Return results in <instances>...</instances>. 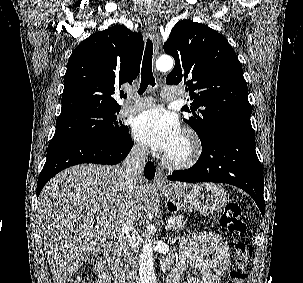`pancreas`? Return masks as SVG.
Wrapping results in <instances>:
<instances>
[{
  "label": "pancreas",
  "mask_w": 303,
  "mask_h": 283,
  "mask_svg": "<svg viewBox=\"0 0 303 283\" xmlns=\"http://www.w3.org/2000/svg\"><path fill=\"white\" fill-rule=\"evenodd\" d=\"M171 220H172V223H171V230L172 231L182 230L184 228L185 223H186L184 217L181 216V215L174 214V215L171 216Z\"/></svg>",
  "instance_id": "obj_1"
}]
</instances>
